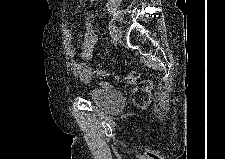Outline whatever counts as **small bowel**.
<instances>
[{
    "instance_id": "small-bowel-1",
    "label": "small bowel",
    "mask_w": 225,
    "mask_h": 159,
    "mask_svg": "<svg viewBox=\"0 0 225 159\" xmlns=\"http://www.w3.org/2000/svg\"><path fill=\"white\" fill-rule=\"evenodd\" d=\"M66 41L68 44V56L70 57V69L72 74L83 82H88L92 77V68L89 64L95 56V47L98 41L97 34L92 23L86 22V31L79 56L82 60L76 59V50L72 46V35L67 34Z\"/></svg>"
}]
</instances>
